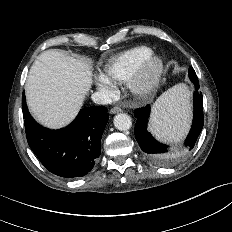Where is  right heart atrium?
I'll list each match as a JSON object with an SVG mask.
<instances>
[{
	"label": "right heart atrium",
	"instance_id": "1",
	"mask_svg": "<svg viewBox=\"0 0 232 232\" xmlns=\"http://www.w3.org/2000/svg\"><path fill=\"white\" fill-rule=\"evenodd\" d=\"M98 89L107 97H112L116 94L117 88L113 81H111L104 74L97 75L95 78Z\"/></svg>",
	"mask_w": 232,
	"mask_h": 232
}]
</instances>
